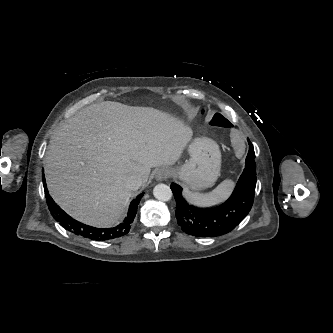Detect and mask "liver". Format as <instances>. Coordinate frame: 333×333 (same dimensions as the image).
Masks as SVG:
<instances>
[{
	"mask_svg": "<svg viewBox=\"0 0 333 333\" xmlns=\"http://www.w3.org/2000/svg\"><path fill=\"white\" fill-rule=\"evenodd\" d=\"M182 121L148 107L104 101L83 108L54 135L45 159L47 187L71 217L109 227L124 211L131 190L152 167L175 164L192 139Z\"/></svg>",
	"mask_w": 333,
	"mask_h": 333,
	"instance_id": "obj_1",
	"label": "liver"
}]
</instances>
